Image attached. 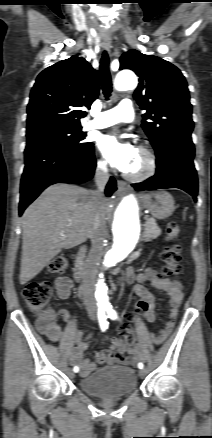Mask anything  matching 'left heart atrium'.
<instances>
[{
    "label": "left heart atrium",
    "mask_w": 212,
    "mask_h": 438,
    "mask_svg": "<svg viewBox=\"0 0 212 438\" xmlns=\"http://www.w3.org/2000/svg\"><path fill=\"white\" fill-rule=\"evenodd\" d=\"M99 148L107 160L121 171L127 172L135 161L138 150L113 135H104L99 141Z\"/></svg>",
    "instance_id": "obj_1"
}]
</instances>
